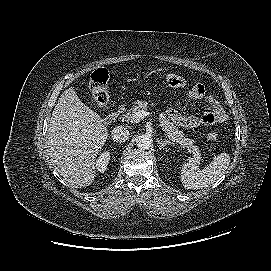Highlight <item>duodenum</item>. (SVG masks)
Instances as JSON below:
<instances>
[{
  "label": "duodenum",
  "instance_id": "duodenum-1",
  "mask_svg": "<svg viewBox=\"0 0 271 271\" xmlns=\"http://www.w3.org/2000/svg\"><path fill=\"white\" fill-rule=\"evenodd\" d=\"M121 112H122L121 108H118L111 112L110 114H108L104 119V124L108 126L111 123L115 122L119 118Z\"/></svg>",
  "mask_w": 271,
  "mask_h": 271
}]
</instances>
